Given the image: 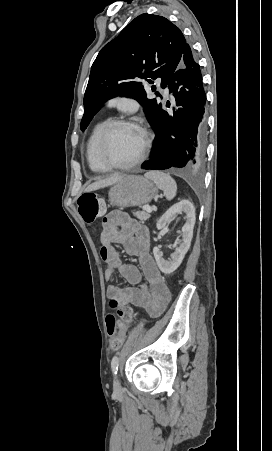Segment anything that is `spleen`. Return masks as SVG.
I'll return each instance as SVG.
<instances>
[{"instance_id":"1","label":"spleen","mask_w":272,"mask_h":451,"mask_svg":"<svg viewBox=\"0 0 272 451\" xmlns=\"http://www.w3.org/2000/svg\"><path fill=\"white\" fill-rule=\"evenodd\" d=\"M148 180H153L159 190H163L164 196L167 200H173L177 192V184L170 174H163V172H147L144 174Z\"/></svg>"}]
</instances>
